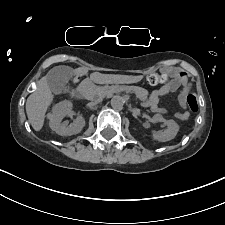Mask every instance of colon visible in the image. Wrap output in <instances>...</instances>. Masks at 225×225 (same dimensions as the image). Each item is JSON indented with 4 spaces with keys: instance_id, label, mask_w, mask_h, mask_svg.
<instances>
[{
    "instance_id": "5ec220e1",
    "label": "colon",
    "mask_w": 225,
    "mask_h": 225,
    "mask_svg": "<svg viewBox=\"0 0 225 225\" xmlns=\"http://www.w3.org/2000/svg\"><path fill=\"white\" fill-rule=\"evenodd\" d=\"M146 80L150 85L165 84L169 82L170 76L166 73H150L147 75ZM186 101L192 112L198 111L199 104L195 94H189Z\"/></svg>"
}]
</instances>
